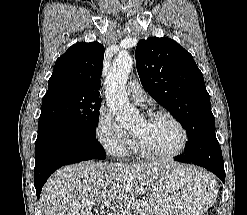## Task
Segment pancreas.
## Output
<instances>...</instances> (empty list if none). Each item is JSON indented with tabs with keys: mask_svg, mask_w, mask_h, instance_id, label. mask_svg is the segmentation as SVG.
Here are the masks:
<instances>
[{
	"mask_svg": "<svg viewBox=\"0 0 247 215\" xmlns=\"http://www.w3.org/2000/svg\"><path fill=\"white\" fill-rule=\"evenodd\" d=\"M153 215L151 206L142 200H134L124 207L122 215Z\"/></svg>",
	"mask_w": 247,
	"mask_h": 215,
	"instance_id": "cf45deb5",
	"label": "pancreas"
}]
</instances>
